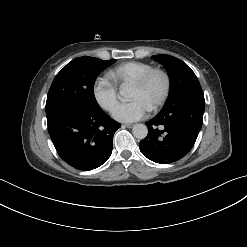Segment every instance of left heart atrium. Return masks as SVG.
Segmentation results:
<instances>
[{
    "mask_svg": "<svg viewBox=\"0 0 247 247\" xmlns=\"http://www.w3.org/2000/svg\"><path fill=\"white\" fill-rule=\"evenodd\" d=\"M150 107L141 99L117 104L113 110V117L121 122H133L142 119L149 112Z\"/></svg>",
    "mask_w": 247,
    "mask_h": 247,
    "instance_id": "obj_1",
    "label": "left heart atrium"
}]
</instances>
